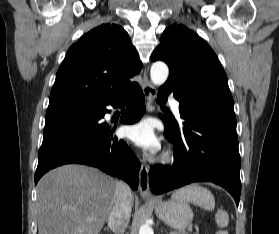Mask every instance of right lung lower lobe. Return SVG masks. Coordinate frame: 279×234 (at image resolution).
Returning a JSON list of instances; mask_svg holds the SVG:
<instances>
[{"instance_id":"1","label":"right lung lower lobe","mask_w":279,"mask_h":234,"mask_svg":"<svg viewBox=\"0 0 279 234\" xmlns=\"http://www.w3.org/2000/svg\"><path fill=\"white\" fill-rule=\"evenodd\" d=\"M109 104L113 107L127 104L121 116L123 123L133 124L145 112V98L137 83ZM109 104L98 107L89 117L45 125L35 184L50 169L79 163L98 167L107 174L123 178L134 190L138 188L140 163L128 145L113 135L116 125L111 127L100 122Z\"/></svg>"}]
</instances>
